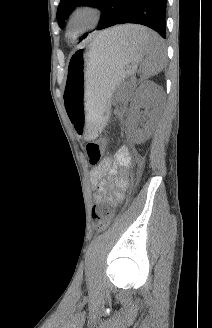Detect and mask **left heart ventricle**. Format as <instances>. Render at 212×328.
Listing matches in <instances>:
<instances>
[{"label": "left heart ventricle", "instance_id": "1", "mask_svg": "<svg viewBox=\"0 0 212 328\" xmlns=\"http://www.w3.org/2000/svg\"><path fill=\"white\" fill-rule=\"evenodd\" d=\"M88 22V17L87 16H80L79 18H77L75 25L76 28H81L84 25H86Z\"/></svg>", "mask_w": 212, "mask_h": 328}]
</instances>
